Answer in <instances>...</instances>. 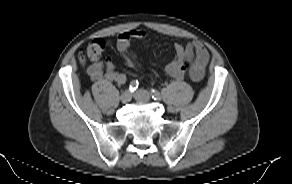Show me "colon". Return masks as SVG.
I'll return each mask as SVG.
<instances>
[{
	"mask_svg": "<svg viewBox=\"0 0 292 184\" xmlns=\"http://www.w3.org/2000/svg\"><path fill=\"white\" fill-rule=\"evenodd\" d=\"M106 47V41L103 38L93 39L85 51H81L79 58L81 61L85 62L87 59L97 60L103 53ZM171 63L177 64L180 72L183 76L191 68V62L188 60H183L179 57L178 54L173 58Z\"/></svg>",
	"mask_w": 292,
	"mask_h": 184,
	"instance_id": "1",
	"label": "colon"
}]
</instances>
